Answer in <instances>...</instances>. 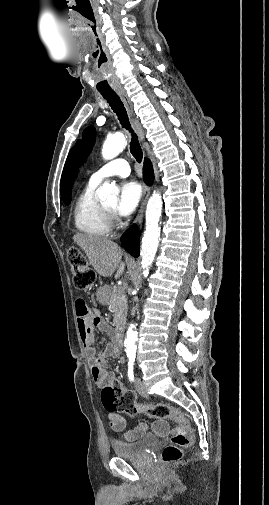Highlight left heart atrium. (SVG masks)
Returning a JSON list of instances; mask_svg holds the SVG:
<instances>
[{"label": "left heart atrium", "instance_id": "1", "mask_svg": "<svg viewBox=\"0 0 269 505\" xmlns=\"http://www.w3.org/2000/svg\"><path fill=\"white\" fill-rule=\"evenodd\" d=\"M142 196V190L140 185L134 181H125L120 187V195L118 204L116 206V211L120 216H128L132 214Z\"/></svg>", "mask_w": 269, "mask_h": 505}]
</instances>
